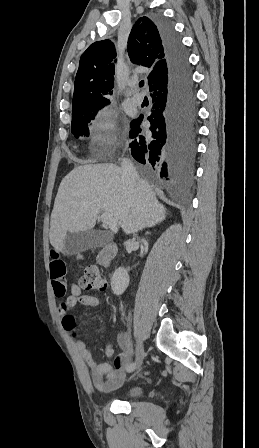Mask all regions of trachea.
Wrapping results in <instances>:
<instances>
[{
    "instance_id": "obj_1",
    "label": "trachea",
    "mask_w": 259,
    "mask_h": 448,
    "mask_svg": "<svg viewBox=\"0 0 259 448\" xmlns=\"http://www.w3.org/2000/svg\"><path fill=\"white\" fill-rule=\"evenodd\" d=\"M139 87H144V80H141V81L139 82Z\"/></svg>"
}]
</instances>
